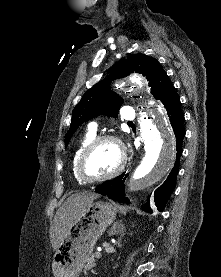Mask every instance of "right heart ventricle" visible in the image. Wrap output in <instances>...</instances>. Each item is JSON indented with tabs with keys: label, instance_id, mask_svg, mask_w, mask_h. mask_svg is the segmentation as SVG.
<instances>
[{
	"label": "right heart ventricle",
	"instance_id": "1",
	"mask_svg": "<svg viewBox=\"0 0 221 277\" xmlns=\"http://www.w3.org/2000/svg\"><path fill=\"white\" fill-rule=\"evenodd\" d=\"M95 138V132L93 131H88L79 141L73 157H72V172L73 175L75 177V179L79 182L82 183L83 181L78 177L77 172H76V163L78 160V157L80 155V153L82 152V150L86 147L87 144H89L93 139Z\"/></svg>",
	"mask_w": 221,
	"mask_h": 277
}]
</instances>
